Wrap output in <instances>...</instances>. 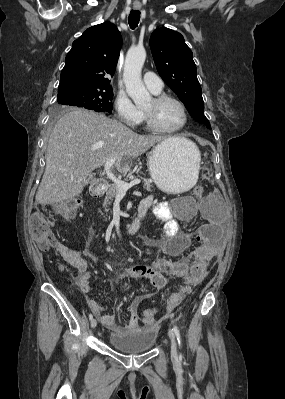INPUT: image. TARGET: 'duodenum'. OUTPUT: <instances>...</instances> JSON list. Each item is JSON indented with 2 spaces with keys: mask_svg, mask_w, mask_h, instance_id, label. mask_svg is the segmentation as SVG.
<instances>
[{
  "mask_svg": "<svg viewBox=\"0 0 285 399\" xmlns=\"http://www.w3.org/2000/svg\"><path fill=\"white\" fill-rule=\"evenodd\" d=\"M105 189L106 186L104 183L93 184L90 188V193L93 197L99 198L104 195ZM145 216H146V207H139L137 216L130 224H128V226L124 231V235L133 236L137 234L140 228L142 227Z\"/></svg>",
  "mask_w": 285,
  "mask_h": 399,
  "instance_id": "duodenum-1",
  "label": "duodenum"
}]
</instances>
